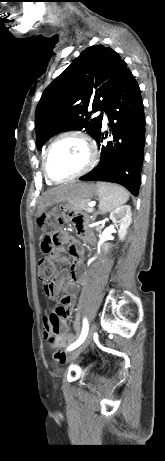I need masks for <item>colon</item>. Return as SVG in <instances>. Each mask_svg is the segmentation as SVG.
I'll return each instance as SVG.
<instances>
[{"instance_id":"5ec220e1","label":"colon","mask_w":165,"mask_h":461,"mask_svg":"<svg viewBox=\"0 0 165 461\" xmlns=\"http://www.w3.org/2000/svg\"><path fill=\"white\" fill-rule=\"evenodd\" d=\"M39 226L43 230L41 237V250L44 253H50L56 248L63 245L66 241L64 234L59 230L61 217H55L52 212L44 214L38 219ZM55 275V266L47 258H42L39 261V278L42 281H47ZM51 344L54 348H58L59 354H64L66 348H71V340H55L51 339ZM80 358H86V353H80Z\"/></svg>"}]
</instances>
